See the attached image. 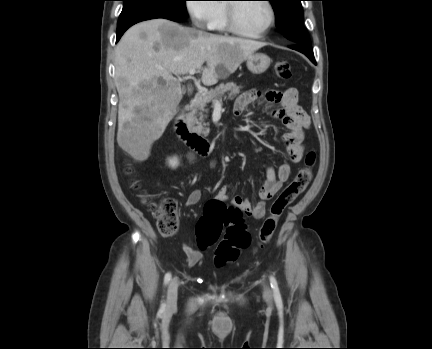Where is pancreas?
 Here are the masks:
<instances>
[{
    "mask_svg": "<svg viewBox=\"0 0 432 349\" xmlns=\"http://www.w3.org/2000/svg\"><path fill=\"white\" fill-rule=\"evenodd\" d=\"M240 93V87L233 82L221 83L215 89H211L206 93H198L193 102L194 114H197L198 118L194 119V123L197 125L195 129L204 135L209 134V128H205L204 120L207 117L205 113H208L207 104L215 103L217 100L222 102L227 98L233 99ZM227 94V95H226Z\"/></svg>",
    "mask_w": 432,
    "mask_h": 349,
    "instance_id": "1",
    "label": "pancreas"
}]
</instances>
